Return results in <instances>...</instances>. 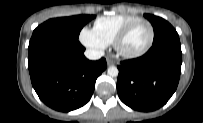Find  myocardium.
Returning <instances> with one entry per match:
<instances>
[{
	"instance_id": "myocardium-1",
	"label": "myocardium",
	"mask_w": 203,
	"mask_h": 123,
	"mask_svg": "<svg viewBox=\"0 0 203 123\" xmlns=\"http://www.w3.org/2000/svg\"><path fill=\"white\" fill-rule=\"evenodd\" d=\"M140 23H145L148 25L149 29H150V38L148 43L145 45L144 48H142L139 51L136 52H126L122 49L121 45L123 43V41L125 40V38L128 36V34L130 33V31L137 25ZM155 39V29L154 26L152 25V23L146 19H137L131 23H129L127 26H125L119 33L118 35L115 37L114 41H113V47L115 52L117 53L118 56L125 58V59H134V58H138L143 56L144 54H146L150 48L153 45Z\"/></svg>"
}]
</instances>
